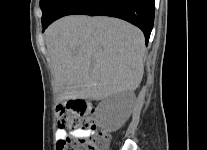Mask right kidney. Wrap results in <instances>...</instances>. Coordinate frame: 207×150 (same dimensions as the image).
<instances>
[{
  "mask_svg": "<svg viewBox=\"0 0 207 150\" xmlns=\"http://www.w3.org/2000/svg\"><path fill=\"white\" fill-rule=\"evenodd\" d=\"M133 104L131 92H120L105 98L97 107V118L108 132L118 130L128 119Z\"/></svg>",
  "mask_w": 207,
  "mask_h": 150,
  "instance_id": "1",
  "label": "right kidney"
}]
</instances>
